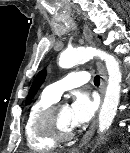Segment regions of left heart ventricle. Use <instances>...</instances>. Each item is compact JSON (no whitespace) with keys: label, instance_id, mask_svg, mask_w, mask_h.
<instances>
[{"label":"left heart ventricle","instance_id":"1","mask_svg":"<svg viewBox=\"0 0 130 153\" xmlns=\"http://www.w3.org/2000/svg\"><path fill=\"white\" fill-rule=\"evenodd\" d=\"M58 122H59L60 127L64 130H69L73 128L71 121H70V110L68 106L63 105L59 109Z\"/></svg>","mask_w":130,"mask_h":153}]
</instances>
